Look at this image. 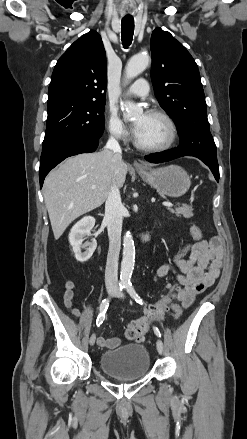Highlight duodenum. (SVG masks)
<instances>
[{"label": "duodenum", "mask_w": 247, "mask_h": 439, "mask_svg": "<svg viewBox=\"0 0 247 439\" xmlns=\"http://www.w3.org/2000/svg\"><path fill=\"white\" fill-rule=\"evenodd\" d=\"M149 240H150V232L149 231H143L139 235V241L141 244H146L149 242Z\"/></svg>", "instance_id": "duodenum-1"}]
</instances>
